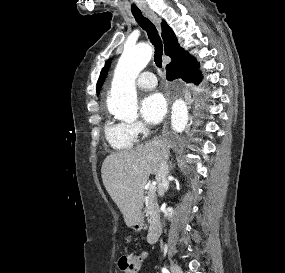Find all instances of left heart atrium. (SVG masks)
I'll use <instances>...</instances> for the list:
<instances>
[{
	"mask_svg": "<svg viewBox=\"0 0 285 273\" xmlns=\"http://www.w3.org/2000/svg\"><path fill=\"white\" fill-rule=\"evenodd\" d=\"M166 111L167 103L161 93H151L141 101V116L146 122L150 124L159 123L164 118Z\"/></svg>",
	"mask_w": 285,
	"mask_h": 273,
	"instance_id": "left-heart-atrium-1",
	"label": "left heart atrium"
}]
</instances>
